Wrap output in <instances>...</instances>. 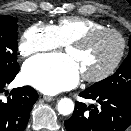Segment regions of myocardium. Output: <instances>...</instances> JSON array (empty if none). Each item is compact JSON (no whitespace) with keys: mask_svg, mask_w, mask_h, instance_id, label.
Wrapping results in <instances>:
<instances>
[{"mask_svg":"<svg viewBox=\"0 0 131 131\" xmlns=\"http://www.w3.org/2000/svg\"><path fill=\"white\" fill-rule=\"evenodd\" d=\"M105 33L113 34V35L118 37V39L120 41L119 51H118L115 59L113 60V62L104 71H102L98 74H95V75H84L83 74L82 78L85 81L100 82L102 80H105L106 78H108L110 75L113 74V72L117 69V67L121 63V61L124 57V54H125V50H126V39H125V37L123 36V34L120 31H118L116 29L103 27V28L91 30V31L83 34L79 38H77V39L69 42L68 44H66L67 47H83L90 40H92L94 37L99 36L101 34H105Z\"/></svg>","mask_w":131,"mask_h":131,"instance_id":"1","label":"myocardium"}]
</instances>
